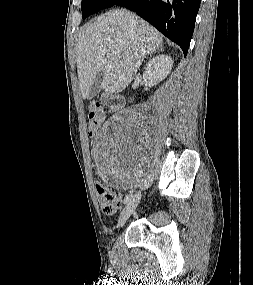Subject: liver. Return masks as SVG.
<instances>
[{
  "label": "liver",
  "mask_w": 253,
  "mask_h": 285,
  "mask_svg": "<svg viewBox=\"0 0 253 285\" xmlns=\"http://www.w3.org/2000/svg\"><path fill=\"white\" fill-rule=\"evenodd\" d=\"M162 34L137 15L118 9L87 25L76 45L77 72L83 99L99 73L101 88L119 93L133 80L145 56L162 46Z\"/></svg>",
  "instance_id": "1"
}]
</instances>
